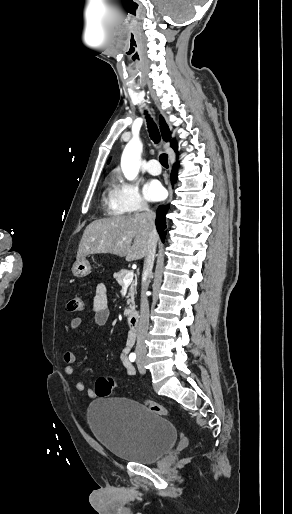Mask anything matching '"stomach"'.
I'll return each instance as SVG.
<instances>
[{"instance_id": "obj_1", "label": "stomach", "mask_w": 292, "mask_h": 514, "mask_svg": "<svg viewBox=\"0 0 292 514\" xmlns=\"http://www.w3.org/2000/svg\"><path fill=\"white\" fill-rule=\"evenodd\" d=\"M92 270V266L86 258H80V260H77L75 264H73L72 268V274L73 276H76V278H84V276H87V274H90Z\"/></svg>"}]
</instances>
